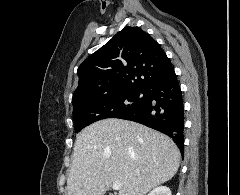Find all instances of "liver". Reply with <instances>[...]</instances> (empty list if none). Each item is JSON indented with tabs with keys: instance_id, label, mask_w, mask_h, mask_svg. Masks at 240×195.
<instances>
[{
	"instance_id": "1",
	"label": "liver",
	"mask_w": 240,
	"mask_h": 195,
	"mask_svg": "<svg viewBox=\"0 0 240 195\" xmlns=\"http://www.w3.org/2000/svg\"><path fill=\"white\" fill-rule=\"evenodd\" d=\"M181 153L171 137L127 119H99L77 133L67 179L68 195H146L175 175ZM117 195V193H110Z\"/></svg>"
}]
</instances>
